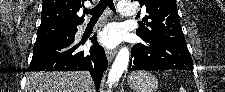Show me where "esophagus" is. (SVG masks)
<instances>
[{
    "label": "esophagus",
    "instance_id": "esophagus-1",
    "mask_svg": "<svg viewBox=\"0 0 225 92\" xmlns=\"http://www.w3.org/2000/svg\"><path fill=\"white\" fill-rule=\"evenodd\" d=\"M116 53H117L116 49H113V50L107 49L106 50V56H107V59H108L109 62H111L113 60Z\"/></svg>",
    "mask_w": 225,
    "mask_h": 92
}]
</instances>
